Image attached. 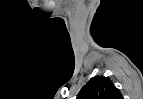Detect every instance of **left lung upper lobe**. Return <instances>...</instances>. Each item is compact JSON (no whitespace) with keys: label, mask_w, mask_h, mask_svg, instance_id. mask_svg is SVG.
<instances>
[{"label":"left lung upper lobe","mask_w":143,"mask_h":99,"mask_svg":"<svg viewBox=\"0 0 143 99\" xmlns=\"http://www.w3.org/2000/svg\"><path fill=\"white\" fill-rule=\"evenodd\" d=\"M76 99H123L108 77L95 76L82 87Z\"/></svg>","instance_id":"left-lung-upper-lobe-1"}]
</instances>
